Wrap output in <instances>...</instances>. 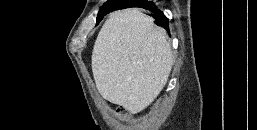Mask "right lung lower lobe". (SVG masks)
<instances>
[{"mask_svg": "<svg viewBox=\"0 0 257 130\" xmlns=\"http://www.w3.org/2000/svg\"><path fill=\"white\" fill-rule=\"evenodd\" d=\"M130 7H139V8H144L147 10H150L154 13L153 17L155 18V23L157 25H161L168 29V19L166 16L154 5L153 2L147 1V0H137V1H130L126 0L125 6L119 8V9H124V8H130Z\"/></svg>", "mask_w": 257, "mask_h": 130, "instance_id": "obj_1", "label": "right lung lower lobe"}]
</instances>
